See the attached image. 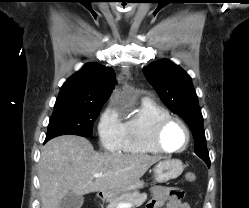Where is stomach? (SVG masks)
I'll list each match as a JSON object with an SVG mask.
<instances>
[{"mask_svg":"<svg viewBox=\"0 0 249 208\" xmlns=\"http://www.w3.org/2000/svg\"><path fill=\"white\" fill-rule=\"evenodd\" d=\"M184 170V166L181 160L179 159H165L160 161L153 168L154 171V179L158 183L167 182L171 179H176L181 175ZM144 183L142 181H137L133 185L129 186L126 189H120L116 191H106L102 193V196L110 201L116 198L121 193L133 192L138 189L143 188Z\"/></svg>","mask_w":249,"mask_h":208,"instance_id":"stomach-1","label":"stomach"}]
</instances>
